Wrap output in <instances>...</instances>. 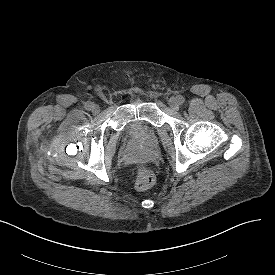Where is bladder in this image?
I'll list each match as a JSON object with an SVG mask.
<instances>
[{"mask_svg":"<svg viewBox=\"0 0 275 275\" xmlns=\"http://www.w3.org/2000/svg\"><path fill=\"white\" fill-rule=\"evenodd\" d=\"M131 134L134 135V136L139 135V132H138V130H137V128L135 126H133L131 128Z\"/></svg>","mask_w":275,"mask_h":275,"instance_id":"bladder-1","label":"bladder"}]
</instances>
